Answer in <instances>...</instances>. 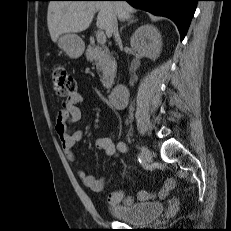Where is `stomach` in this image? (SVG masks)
<instances>
[{"mask_svg":"<svg viewBox=\"0 0 231 231\" xmlns=\"http://www.w3.org/2000/svg\"><path fill=\"white\" fill-rule=\"evenodd\" d=\"M56 42L58 47L71 59L79 58L85 49L84 42L76 34L67 33L60 35Z\"/></svg>","mask_w":231,"mask_h":231,"instance_id":"1","label":"stomach"}]
</instances>
